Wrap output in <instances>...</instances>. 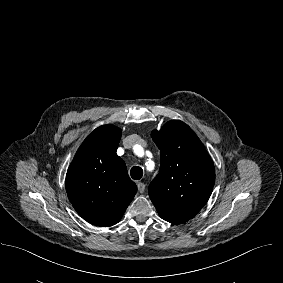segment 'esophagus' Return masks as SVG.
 <instances>
[{
	"label": "esophagus",
	"instance_id": "1",
	"mask_svg": "<svg viewBox=\"0 0 283 283\" xmlns=\"http://www.w3.org/2000/svg\"><path fill=\"white\" fill-rule=\"evenodd\" d=\"M137 188H138V191H139L140 193H143V192L145 191L146 186H145L144 183L138 182V183H137Z\"/></svg>",
	"mask_w": 283,
	"mask_h": 283
}]
</instances>
